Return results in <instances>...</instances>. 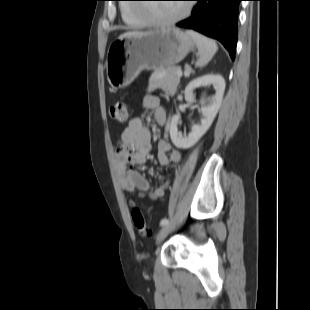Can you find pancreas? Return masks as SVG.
Returning <instances> with one entry per match:
<instances>
[{
	"label": "pancreas",
	"instance_id": "1",
	"mask_svg": "<svg viewBox=\"0 0 310 310\" xmlns=\"http://www.w3.org/2000/svg\"><path fill=\"white\" fill-rule=\"evenodd\" d=\"M179 69V67L173 66L152 73L149 79L148 92L162 89L166 97L174 96L180 83V77L176 74Z\"/></svg>",
	"mask_w": 310,
	"mask_h": 310
}]
</instances>
